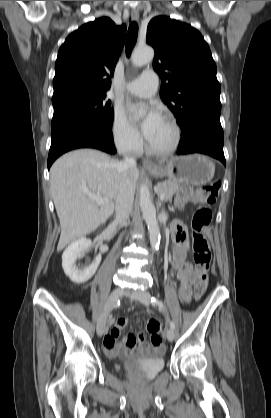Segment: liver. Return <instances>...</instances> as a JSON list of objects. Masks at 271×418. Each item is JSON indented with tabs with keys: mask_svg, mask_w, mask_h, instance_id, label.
<instances>
[{
	"mask_svg": "<svg viewBox=\"0 0 271 418\" xmlns=\"http://www.w3.org/2000/svg\"><path fill=\"white\" fill-rule=\"evenodd\" d=\"M139 171L93 149L69 152L54 162L50 169V187L60 220L61 235L57 250L96 230L113 214L119 187L127 180L135 191ZM88 194L109 201L103 205Z\"/></svg>",
	"mask_w": 271,
	"mask_h": 418,
	"instance_id": "liver-1",
	"label": "liver"
}]
</instances>
